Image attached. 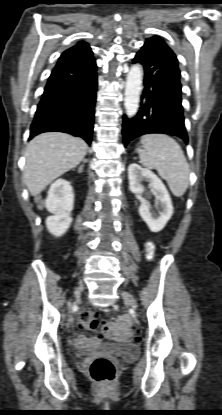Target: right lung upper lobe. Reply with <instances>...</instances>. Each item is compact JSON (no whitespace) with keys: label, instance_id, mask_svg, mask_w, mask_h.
<instances>
[{"label":"right lung upper lobe","instance_id":"cb5924a9","mask_svg":"<svg viewBox=\"0 0 222 415\" xmlns=\"http://www.w3.org/2000/svg\"><path fill=\"white\" fill-rule=\"evenodd\" d=\"M92 53L90 46L85 42H79L75 46L67 49L61 56L79 55Z\"/></svg>","mask_w":222,"mask_h":415}]
</instances>
